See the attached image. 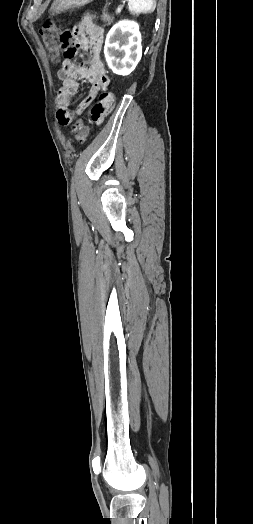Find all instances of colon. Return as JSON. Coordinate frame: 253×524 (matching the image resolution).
Wrapping results in <instances>:
<instances>
[{"label": "colon", "mask_w": 253, "mask_h": 524, "mask_svg": "<svg viewBox=\"0 0 253 524\" xmlns=\"http://www.w3.org/2000/svg\"><path fill=\"white\" fill-rule=\"evenodd\" d=\"M61 32L62 29L52 21L44 23L39 30L42 44L53 62L62 60L61 54L63 52L59 49L60 43L58 39ZM71 116L72 114L67 108H62L58 111V120L61 124L71 121ZM71 132L78 142H84L88 137L89 128L83 119L78 118L71 124Z\"/></svg>", "instance_id": "obj_1"}]
</instances>
